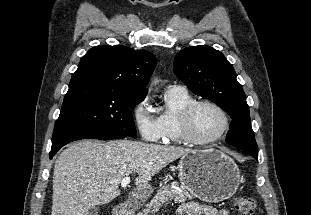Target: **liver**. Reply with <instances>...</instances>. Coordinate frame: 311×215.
<instances>
[{"label": "liver", "mask_w": 311, "mask_h": 215, "mask_svg": "<svg viewBox=\"0 0 311 215\" xmlns=\"http://www.w3.org/2000/svg\"><path fill=\"white\" fill-rule=\"evenodd\" d=\"M191 151L131 140L74 142L55 162L51 215H85L111 202L120 194L121 180L132 173H137L136 196L155 174Z\"/></svg>", "instance_id": "6515ba94"}]
</instances>
